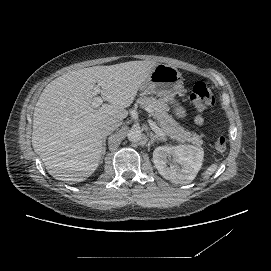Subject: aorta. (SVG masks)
Returning <instances> with one entry per match:
<instances>
[{"label": "aorta", "mask_w": 271, "mask_h": 271, "mask_svg": "<svg viewBox=\"0 0 271 271\" xmlns=\"http://www.w3.org/2000/svg\"><path fill=\"white\" fill-rule=\"evenodd\" d=\"M129 141L137 143L142 140V131L139 128H131L127 134Z\"/></svg>", "instance_id": "762f6f07"}]
</instances>
